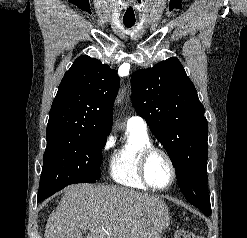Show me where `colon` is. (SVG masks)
Here are the masks:
<instances>
[{
	"mask_svg": "<svg viewBox=\"0 0 247 238\" xmlns=\"http://www.w3.org/2000/svg\"><path fill=\"white\" fill-rule=\"evenodd\" d=\"M175 238H200L188 230H180L176 233Z\"/></svg>",
	"mask_w": 247,
	"mask_h": 238,
	"instance_id": "1",
	"label": "colon"
}]
</instances>
